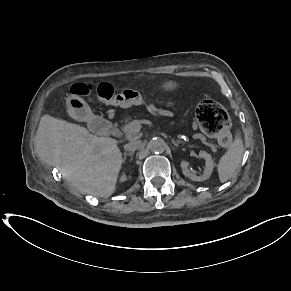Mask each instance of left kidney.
I'll list each match as a JSON object with an SVG mask.
<instances>
[{"mask_svg": "<svg viewBox=\"0 0 291 291\" xmlns=\"http://www.w3.org/2000/svg\"><path fill=\"white\" fill-rule=\"evenodd\" d=\"M199 156L205 159V169H204V172L201 176H197V175L193 174L188 169L189 162L184 161V160L181 162V168H182L183 174L193 181H204V180L209 179V177L212 174L213 168H214V162H213L212 157L209 153H207L205 151H200Z\"/></svg>", "mask_w": 291, "mask_h": 291, "instance_id": "5707ae66", "label": "left kidney"}]
</instances>
